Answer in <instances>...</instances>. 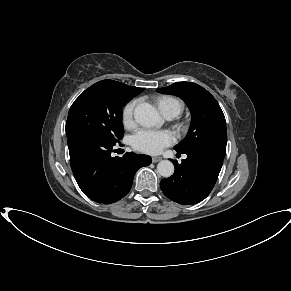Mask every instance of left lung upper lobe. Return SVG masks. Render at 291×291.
<instances>
[{
  "label": "left lung upper lobe",
  "mask_w": 291,
  "mask_h": 291,
  "mask_svg": "<svg viewBox=\"0 0 291 291\" xmlns=\"http://www.w3.org/2000/svg\"><path fill=\"white\" fill-rule=\"evenodd\" d=\"M183 99L192 114L187 136L174 149L185 152L193 148L226 151L227 130L224 114L215 98L203 87L189 82H178L157 89Z\"/></svg>",
  "instance_id": "left-lung-upper-lobe-1"
}]
</instances>
